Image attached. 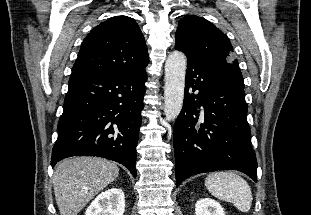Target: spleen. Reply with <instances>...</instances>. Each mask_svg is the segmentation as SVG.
Masks as SVG:
<instances>
[{
    "label": "spleen",
    "mask_w": 311,
    "mask_h": 215,
    "mask_svg": "<svg viewBox=\"0 0 311 215\" xmlns=\"http://www.w3.org/2000/svg\"><path fill=\"white\" fill-rule=\"evenodd\" d=\"M208 191L221 200L231 202L241 212H248L252 204L249 184L238 174L229 171L213 172L205 180Z\"/></svg>",
    "instance_id": "spleen-1"
}]
</instances>
